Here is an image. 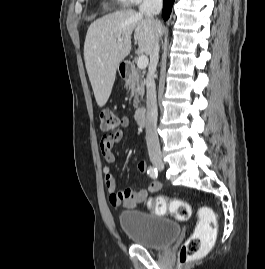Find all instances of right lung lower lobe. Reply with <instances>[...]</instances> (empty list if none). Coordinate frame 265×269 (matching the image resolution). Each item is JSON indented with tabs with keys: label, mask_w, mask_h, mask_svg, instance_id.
<instances>
[{
	"label": "right lung lower lobe",
	"mask_w": 265,
	"mask_h": 269,
	"mask_svg": "<svg viewBox=\"0 0 265 269\" xmlns=\"http://www.w3.org/2000/svg\"><path fill=\"white\" fill-rule=\"evenodd\" d=\"M174 0H164L162 16L164 20H167L170 16Z\"/></svg>",
	"instance_id": "obj_1"
}]
</instances>
